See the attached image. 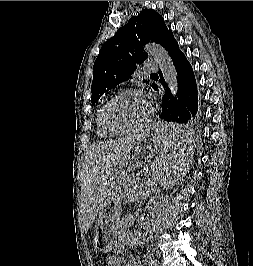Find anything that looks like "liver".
Instances as JSON below:
<instances>
[{"mask_svg":"<svg viewBox=\"0 0 253 266\" xmlns=\"http://www.w3.org/2000/svg\"><path fill=\"white\" fill-rule=\"evenodd\" d=\"M142 136L125 137L96 145L87 153L84 164V226L87 231L103 209L108 178L119 159L126 155Z\"/></svg>","mask_w":253,"mask_h":266,"instance_id":"liver-1","label":"liver"}]
</instances>
